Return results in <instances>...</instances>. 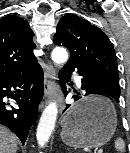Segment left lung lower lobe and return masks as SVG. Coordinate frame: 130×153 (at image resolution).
<instances>
[{
	"label": "left lung lower lobe",
	"mask_w": 130,
	"mask_h": 153,
	"mask_svg": "<svg viewBox=\"0 0 130 153\" xmlns=\"http://www.w3.org/2000/svg\"><path fill=\"white\" fill-rule=\"evenodd\" d=\"M77 71L79 75L83 78L81 92H75L77 95L74 96V100L80 99L81 96H87L90 94H98V95H105L111 98H114L116 101L119 102V96L114 94L103 82L100 76L94 72L92 69L87 68L82 65H75V64H66L59 73V79L61 80L59 83L62 87L63 93L65 96L68 94L66 90V83L71 78V73L73 71ZM70 105H67L68 108ZM65 111V110H64Z\"/></svg>",
	"instance_id": "left-lung-lower-lobe-1"
}]
</instances>
